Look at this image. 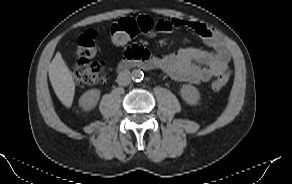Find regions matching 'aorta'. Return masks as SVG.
<instances>
[{
  "instance_id": "obj_1",
  "label": "aorta",
  "mask_w": 292,
  "mask_h": 184,
  "mask_svg": "<svg viewBox=\"0 0 292 184\" xmlns=\"http://www.w3.org/2000/svg\"><path fill=\"white\" fill-rule=\"evenodd\" d=\"M144 77V73L139 69H134L131 73L132 80L138 82L141 81Z\"/></svg>"
}]
</instances>
